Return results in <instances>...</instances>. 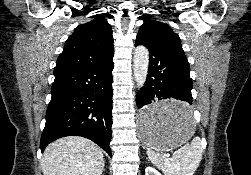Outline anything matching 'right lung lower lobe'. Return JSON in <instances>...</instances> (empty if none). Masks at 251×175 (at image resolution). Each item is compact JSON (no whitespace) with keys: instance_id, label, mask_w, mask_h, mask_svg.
<instances>
[{"instance_id":"right-lung-lower-lobe-1","label":"right lung lower lobe","mask_w":251,"mask_h":175,"mask_svg":"<svg viewBox=\"0 0 251 175\" xmlns=\"http://www.w3.org/2000/svg\"><path fill=\"white\" fill-rule=\"evenodd\" d=\"M112 70L111 59L104 65L55 75L40 141L42 152L50 142L76 135L94 141L111 156Z\"/></svg>"}]
</instances>
